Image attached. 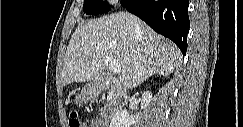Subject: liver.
<instances>
[{
    "mask_svg": "<svg viewBox=\"0 0 243 127\" xmlns=\"http://www.w3.org/2000/svg\"><path fill=\"white\" fill-rule=\"evenodd\" d=\"M105 57L120 64L119 81L131 89L152 75L171 74L180 51L136 16L112 13L76 28L63 60L62 84L98 79Z\"/></svg>",
    "mask_w": 243,
    "mask_h": 127,
    "instance_id": "liver-1",
    "label": "liver"
}]
</instances>
